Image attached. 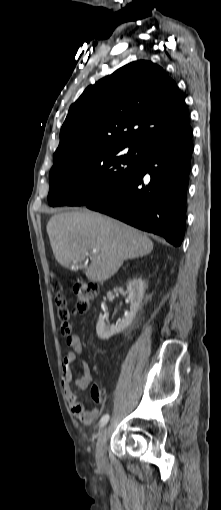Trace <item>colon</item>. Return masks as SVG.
<instances>
[{
	"label": "colon",
	"mask_w": 221,
	"mask_h": 510,
	"mask_svg": "<svg viewBox=\"0 0 221 510\" xmlns=\"http://www.w3.org/2000/svg\"><path fill=\"white\" fill-rule=\"evenodd\" d=\"M74 293L76 297L75 310L70 308L67 297L62 293H58L55 300L58 317L61 321V331L65 336L71 333V318L74 314L76 312L83 314L88 311L91 302L97 296L98 286L92 281L79 279L74 286ZM91 396L96 403L102 402V394L95 384L91 387Z\"/></svg>",
	"instance_id": "colon-1"
}]
</instances>
